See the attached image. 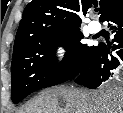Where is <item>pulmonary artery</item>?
Listing matches in <instances>:
<instances>
[{"mask_svg": "<svg viewBox=\"0 0 123 113\" xmlns=\"http://www.w3.org/2000/svg\"><path fill=\"white\" fill-rule=\"evenodd\" d=\"M101 25L97 21H91L89 24V29L93 33H97L100 31Z\"/></svg>", "mask_w": 123, "mask_h": 113, "instance_id": "1", "label": "pulmonary artery"}]
</instances>
